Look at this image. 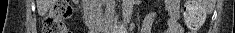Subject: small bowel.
Wrapping results in <instances>:
<instances>
[{"label":"small bowel","instance_id":"1","mask_svg":"<svg viewBox=\"0 0 235 33\" xmlns=\"http://www.w3.org/2000/svg\"><path fill=\"white\" fill-rule=\"evenodd\" d=\"M180 2L178 0H167L165 2V9L168 14V18L166 21V27L164 33H184L183 27L179 22L180 18ZM156 14L150 13L148 14L142 25V33H150L152 25L154 23Z\"/></svg>","mask_w":235,"mask_h":33}]
</instances>
